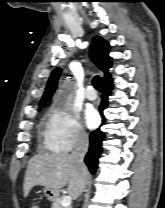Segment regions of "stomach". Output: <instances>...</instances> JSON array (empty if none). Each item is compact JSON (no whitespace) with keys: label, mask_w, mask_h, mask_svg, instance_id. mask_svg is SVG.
Listing matches in <instances>:
<instances>
[{"label":"stomach","mask_w":165,"mask_h":208,"mask_svg":"<svg viewBox=\"0 0 165 208\" xmlns=\"http://www.w3.org/2000/svg\"><path fill=\"white\" fill-rule=\"evenodd\" d=\"M44 194L47 197L48 200L54 201L56 198H58L59 193L55 190L44 188Z\"/></svg>","instance_id":"1"}]
</instances>
